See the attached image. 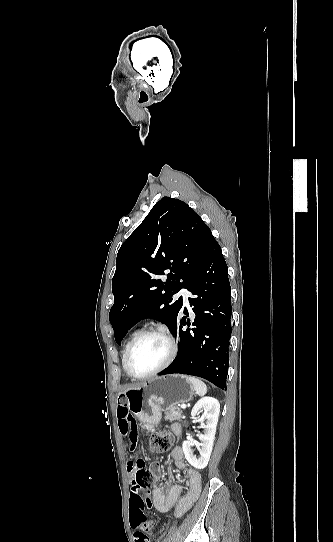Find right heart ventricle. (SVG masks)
Listing matches in <instances>:
<instances>
[{"label":"right heart ventricle","instance_id":"right-heart-ventricle-1","mask_svg":"<svg viewBox=\"0 0 333 542\" xmlns=\"http://www.w3.org/2000/svg\"><path fill=\"white\" fill-rule=\"evenodd\" d=\"M137 335V331L133 332L128 339L125 342L123 353H122V367L124 368V362H125V356L129 347L130 342L133 340V338Z\"/></svg>","mask_w":333,"mask_h":542}]
</instances>
